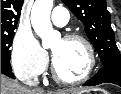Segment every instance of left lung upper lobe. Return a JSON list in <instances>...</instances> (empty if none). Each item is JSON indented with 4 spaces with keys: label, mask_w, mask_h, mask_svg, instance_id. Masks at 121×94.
Returning a JSON list of instances; mask_svg holds the SVG:
<instances>
[{
    "label": "left lung upper lobe",
    "mask_w": 121,
    "mask_h": 94,
    "mask_svg": "<svg viewBox=\"0 0 121 94\" xmlns=\"http://www.w3.org/2000/svg\"><path fill=\"white\" fill-rule=\"evenodd\" d=\"M84 24L87 37L97 50L104 66L121 65V55L111 28L106 0H62Z\"/></svg>",
    "instance_id": "5c2ea615"
}]
</instances>
